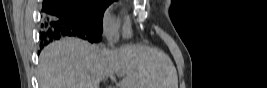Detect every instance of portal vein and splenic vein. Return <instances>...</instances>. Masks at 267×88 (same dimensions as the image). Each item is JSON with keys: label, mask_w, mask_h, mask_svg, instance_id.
Returning <instances> with one entry per match:
<instances>
[{"label": "portal vein and splenic vein", "mask_w": 267, "mask_h": 88, "mask_svg": "<svg viewBox=\"0 0 267 88\" xmlns=\"http://www.w3.org/2000/svg\"><path fill=\"white\" fill-rule=\"evenodd\" d=\"M117 75H118V76H122V75H123V73H121V72H120V73H117Z\"/></svg>", "instance_id": "18ae733b"}]
</instances>
